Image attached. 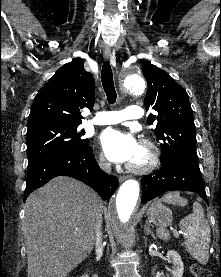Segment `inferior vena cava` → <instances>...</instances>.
Returning a JSON list of instances; mask_svg holds the SVG:
<instances>
[{
    "label": "inferior vena cava",
    "mask_w": 221,
    "mask_h": 277,
    "mask_svg": "<svg viewBox=\"0 0 221 277\" xmlns=\"http://www.w3.org/2000/svg\"><path fill=\"white\" fill-rule=\"evenodd\" d=\"M100 167L106 173H111V164L110 163H100ZM102 214L100 213L97 217L96 227H95V241H96V248H102Z\"/></svg>",
    "instance_id": "1"
}]
</instances>
